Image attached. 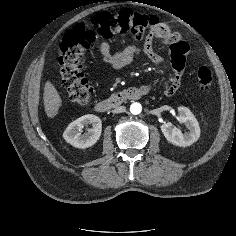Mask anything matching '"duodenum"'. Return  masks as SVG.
<instances>
[{
  "instance_id": "obj_1",
  "label": "duodenum",
  "mask_w": 236,
  "mask_h": 236,
  "mask_svg": "<svg viewBox=\"0 0 236 236\" xmlns=\"http://www.w3.org/2000/svg\"><path fill=\"white\" fill-rule=\"evenodd\" d=\"M146 94H148V91L143 87H129L115 93L108 99L98 101L94 105V108L98 112H107L113 108L121 106L126 101L140 99Z\"/></svg>"
}]
</instances>
